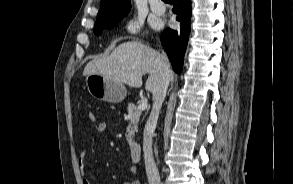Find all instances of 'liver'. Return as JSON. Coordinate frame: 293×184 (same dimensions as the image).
Instances as JSON below:
<instances>
[{
  "label": "liver",
  "mask_w": 293,
  "mask_h": 184,
  "mask_svg": "<svg viewBox=\"0 0 293 184\" xmlns=\"http://www.w3.org/2000/svg\"><path fill=\"white\" fill-rule=\"evenodd\" d=\"M161 54L141 41L119 45L107 57L93 59L84 68L83 75L99 74L126 83L131 87L142 86V76L149 77L145 88L152 94L157 92L162 82ZM170 80L174 73L168 64Z\"/></svg>",
  "instance_id": "liver-1"
}]
</instances>
